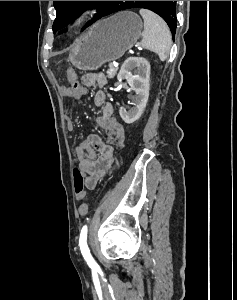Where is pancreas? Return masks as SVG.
<instances>
[{
	"instance_id": "pancreas-1",
	"label": "pancreas",
	"mask_w": 237,
	"mask_h": 300,
	"mask_svg": "<svg viewBox=\"0 0 237 300\" xmlns=\"http://www.w3.org/2000/svg\"><path fill=\"white\" fill-rule=\"evenodd\" d=\"M117 71H118V67H113L112 69L111 68L108 69V71H107L108 79H113V77H114V75H116Z\"/></svg>"
}]
</instances>
